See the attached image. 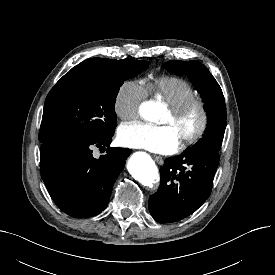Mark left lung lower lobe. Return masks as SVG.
<instances>
[{"instance_id":"left-lung-lower-lobe-1","label":"left lung lower lobe","mask_w":275,"mask_h":275,"mask_svg":"<svg viewBox=\"0 0 275 275\" xmlns=\"http://www.w3.org/2000/svg\"><path fill=\"white\" fill-rule=\"evenodd\" d=\"M219 151H185L165 160L160 186L150 196L149 210L159 223L179 221L194 213L210 196Z\"/></svg>"}]
</instances>
